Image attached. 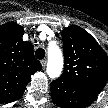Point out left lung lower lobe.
<instances>
[{"label":"left lung lower lobe","instance_id":"1","mask_svg":"<svg viewBox=\"0 0 108 108\" xmlns=\"http://www.w3.org/2000/svg\"><path fill=\"white\" fill-rule=\"evenodd\" d=\"M101 90L100 87L79 85L57 79L51 83V98L61 108H86Z\"/></svg>","mask_w":108,"mask_h":108}]
</instances>
